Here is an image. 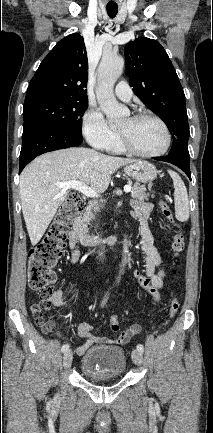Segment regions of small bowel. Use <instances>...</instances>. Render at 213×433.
Wrapping results in <instances>:
<instances>
[{
  "mask_svg": "<svg viewBox=\"0 0 213 433\" xmlns=\"http://www.w3.org/2000/svg\"><path fill=\"white\" fill-rule=\"evenodd\" d=\"M134 216L139 221L141 239L140 244L144 254L145 269L143 273L138 271L134 272V277L142 288H144L153 298L154 305H157L160 300V291L163 287V277L159 272V268L162 264V260L157 248L154 245L153 236L148 228L147 219L151 213L152 205L144 201H134ZM78 238L74 231L70 232L69 235V258L68 262L73 264L79 260L80 251L78 249ZM49 302L61 309L70 310L63 299V292L60 289H56L49 296ZM54 327L53 321H47L42 325V330L45 333L50 332ZM127 330L132 331V336L138 334L141 330L140 325L134 324ZM78 334L85 337V341L79 347L76 352L79 355L84 354L92 345L100 342L104 343H124L128 340H123L122 335L117 339H111L107 337H98L93 335V327L88 323H81L77 326Z\"/></svg>",
  "mask_w": 213,
  "mask_h": 433,
  "instance_id": "c3829d8e",
  "label": "small bowel"
}]
</instances>
